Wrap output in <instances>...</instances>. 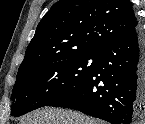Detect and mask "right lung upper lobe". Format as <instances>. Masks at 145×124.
I'll return each mask as SVG.
<instances>
[{"instance_id": "1", "label": "right lung upper lobe", "mask_w": 145, "mask_h": 124, "mask_svg": "<svg viewBox=\"0 0 145 124\" xmlns=\"http://www.w3.org/2000/svg\"><path fill=\"white\" fill-rule=\"evenodd\" d=\"M137 26L129 0H60L38 24L17 77L50 59L98 55Z\"/></svg>"}]
</instances>
